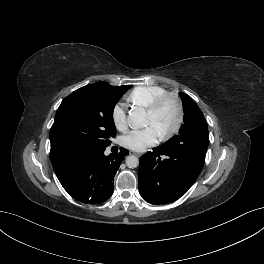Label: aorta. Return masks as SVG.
<instances>
[{
	"label": "aorta",
	"mask_w": 264,
	"mask_h": 264,
	"mask_svg": "<svg viewBox=\"0 0 264 264\" xmlns=\"http://www.w3.org/2000/svg\"><path fill=\"white\" fill-rule=\"evenodd\" d=\"M128 123L134 128H142L146 125V112L142 108H134L128 116ZM126 165L129 168H136L139 165V159L130 155L126 158Z\"/></svg>",
	"instance_id": "762f6f07"
}]
</instances>
